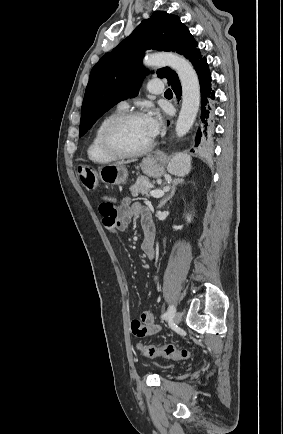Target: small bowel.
Wrapping results in <instances>:
<instances>
[{"instance_id":"1","label":"small bowel","mask_w":283,"mask_h":434,"mask_svg":"<svg viewBox=\"0 0 283 434\" xmlns=\"http://www.w3.org/2000/svg\"><path fill=\"white\" fill-rule=\"evenodd\" d=\"M99 212L103 217L105 228L111 233L125 230L132 218L139 219L143 228L152 225L149 211L142 204L131 203L127 199L116 204L114 199L102 197L99 200ZM141 249L150 260L155 258L153 243H148L144 239ZM154 280L158 283L159 276L156 275ZM159 330L160 327L156 324L154 315L150 311H144L138 319L131 322V332L136 338L155 334Z\"/></svg>"}]
</instances>
